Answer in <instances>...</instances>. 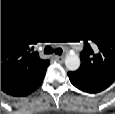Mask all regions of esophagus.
<instances>
[{
  "label": "esophagus",
  "instance_id": "esophagus-1",
  "mask_svg": "<svg viewBox=\"0 0 115 114\" xmlns=\"http://www.w3.org/2000/svg\"><path fill=\"white\" fill-rule=\"evenodd\" d=\"M55 60L59 63H62L64 61V56H55Z\"/></svg>",
  "mask_w": 115,
  "mask_h": 114
}]
</instances>
